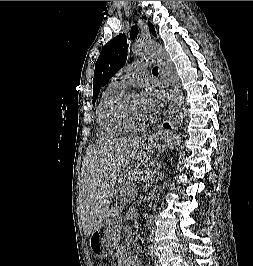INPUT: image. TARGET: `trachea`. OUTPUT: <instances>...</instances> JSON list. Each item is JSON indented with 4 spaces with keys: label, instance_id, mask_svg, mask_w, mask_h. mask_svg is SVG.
<instances>
[{
    "label": "trachea",
    "instance_id": "obj_1",
    "mask_svg": "<svg viewBox=\"0 0 253 266\" xmlns=\"http://www.w3.org/2000/svg\"><path fill=\"white\" fill-rule=\"evenodd\" d=\"M152 73L153 74H158V68L157 67H154L153 70H152Z\"/></svg>",
    "mask_w": 253,
    "mask_h": 266
}]
</instances>
